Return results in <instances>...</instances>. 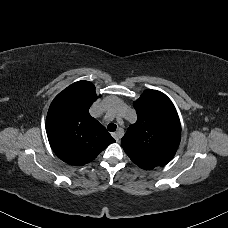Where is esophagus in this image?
<instances>
[{
	"mask_svg": "<svg viewBox=\"0 0 228 228\" xmlns=\"http://www.w3.org/2000/svg\"><path fill=\"white\" fill-rule=\"evenodd\" d=\"M113 137L115 138V140L118 142L120 137H121V130L116 131L115 133H113Z\"/></svg>",
	"mask_w": 228,
	"mask_h": 228,
	"instance_id": "34e87169",
	"label": "esophagus"
}]
</instances>
